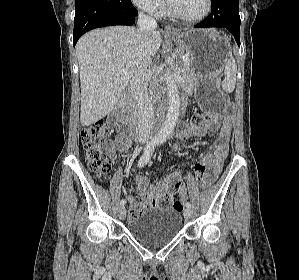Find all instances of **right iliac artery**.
Returning a JSON list of instances; mask_svg holds the SVG:
<instances>
[{
    "instance_id": "obj_1",
    "label": "right iliac artery",
    "mask_w": 299,
    "mask_h": 280,
    "mask_svg": "<svg viewBox=\"0 0 299 280\" xmlns=\"http://www.w3.org/2000/svg\"><path fill=\"white\" fill-rule=\"evenodd\" d=\"M159 143L158 139H152L146 146L143 155L140 157L139 161H138V167H143L144 165H146L148 163V161L150 160L154 148L156 147V145ZM120 204L122 206H124L126 204V201L124 199H122L120 201Z\"/></svg>"
}]
</instances>
